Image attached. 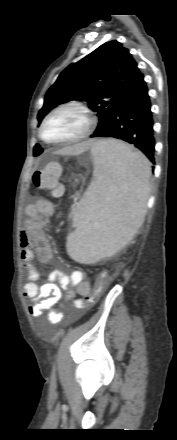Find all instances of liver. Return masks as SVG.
I'll use <instances>...</instances> for the list:
<instances>
[{"mask_svg":"<svg viewBox=\"0 0 177 440\" xmlns=\"http://www.w3.org/2000/svg\"><path fill=\"white\" fill-rule=\"evenodd\" d=\"M92 145H93V141L89 140L72 146L65 147L60 151H58V153L61 155H78L88 150L89 147H91Z\"/></svg>","mask_w":177,"mask_h":440,"instance_id":"liver-1","label":"liver"}]
</instances>
